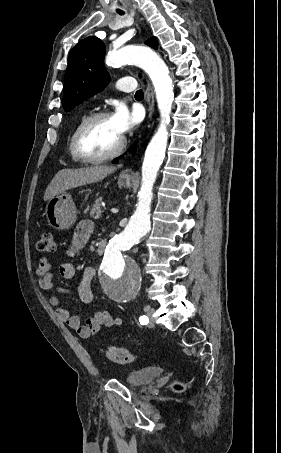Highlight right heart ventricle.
<instances>
[{"mask_svg": "<svg viewBox=\"0 0 281 453\" xmlns=\"http://www.w3.org/2000/svg\"><path fill=\"white\" fill-rule=\"evenodd\" d=\"M85 120V117L81 118L77 123L76 125L73 127L70 135H69V149H70V153H71V156L72 158L77 161V162H80L81 159H79L76 155V152H75V134H76V131H77V128L79 127V125Z\"/></svg>", "mask_w": 281, "mask_h": 453, "instance_id": "1", "label": "right heart ventricle"}]
</instances>
